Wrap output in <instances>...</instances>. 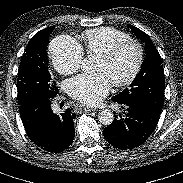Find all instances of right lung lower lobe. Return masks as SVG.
<instances>
[{
    "label": "right lung lower lobe",
    "instance_id": "right-lung-lower-lobe-1",
    "mask_svg": "<svg viewBox=\"0 0 183 183\" xmlns=\"http://www.w3.org/2000/svg\"><path fill=\"white\" fill-rule=\"evenodd\" d=\"M51 100L47 97H31L19 106V111L31 141L45 151L59 153L73 142L75 114L72 109L60 115L53 113Z\"/></svg>",
    "mask_w": 183,
    "mask_h": 183
}]
</instances>
